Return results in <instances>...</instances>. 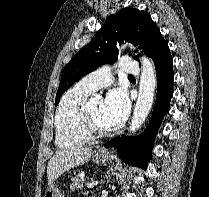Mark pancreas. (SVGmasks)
I'll return each instance as SVG.
<instances>
[{"label":"pancreas","instance_id":"obj_1","mask_svg":"<svg viewBox=\"0 0 209 197\" xmlns=\"http://www.w3.org/2000/svg\"><path fill=\"white\" fill-rule=\"evenodd\" d=\"M82 187H83V182H82V178L80 177V175L74 176L71 179V185H70L71 190L81 189Z\"/></svg>","mask_w":209,"mask_h":197}]
</instances>
